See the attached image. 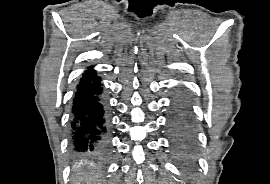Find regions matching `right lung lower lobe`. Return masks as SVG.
<instances>
[{
    "label": "right lung lower lobe",
    "instance_id": "98d812e1",
    "mask_svg": "<svg viewBox=\"0 0 270 184\" xmlns=\"http://www.w3.org/2000/svg\"><path fill=\"white\" fill-rule=\"evenodd\" d=\"M101 79L88 69L73 98L70 120L71 149L88 157H100L106 150L105 102Z\"/></svg>",
    "mask_w": 270,
    "mask_h": 184
}]
</instances>
